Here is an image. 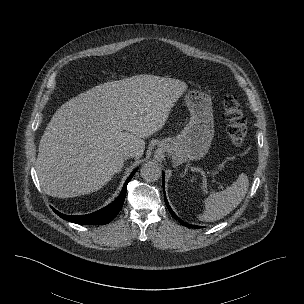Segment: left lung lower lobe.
Instances as JSON below:
<instances>
[{"label": "left lung lower lobe", "instance_id": "1", "mask_svg": "<svg viewBox=\"0 0 304 304\" xmlns=\"http://www.w3.org/2000/svg\"><path fill=\"white\" fill-rule=\"evenodd\" d=\"M162 179H163V189H164V182H165V175H164V173L162 174ZM164 198H165V203H166V205H167V208H168L169 212L171 213V215H172L176 220H179V222H180L182 225L186 226V227H189V228H200V226L191 225V224H188V223H186V222H184V221H181V220L177 217V215L173 212V210L171 209V207H170L169 204H168V201H167L166 195H165V191H164Z\"/></svg>", "mask_w": 304, "mask_h": 304}]
</instances>
